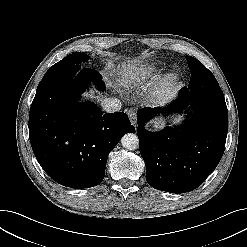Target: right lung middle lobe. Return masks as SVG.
Returning a JSON list of instances; mask_svg holds the SVG:
<instances>
[{
	"instance_id": "1",
	"label": "right lung middle lobe",
	"mask_w": 247,
	"mask_h": 247,
	"mask_svg": "<svg viewBox=\"0 0 247 247\" xmlns=\"http://www.w3.org/2000/svg\"><path fill=\"white\" fill-rule=\"evenodd\" d=\"M88 59L89 57L82 53L69 54L61 61L54 64L47 72L49 73L67 68H76L77 65H81V63L86 62Z\"/></svg>"
}]
</instances>
